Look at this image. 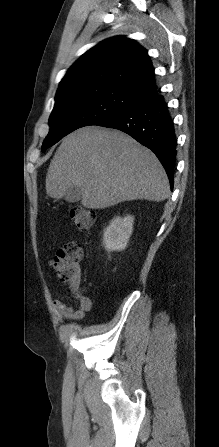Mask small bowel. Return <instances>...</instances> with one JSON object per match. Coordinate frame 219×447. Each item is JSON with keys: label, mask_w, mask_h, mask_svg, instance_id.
<instances>
[{"label": "small bowel", "mask_w": 219, "mask_h": 447, "mask_svg": "<svg viewBox=\"0 0 219 447\" xmlns=\"http://www.w3.org/2000/svg\"><path fill=\"white\" fill-rule=\"evenodd\" d=\"M73 294L78 301L77 307L69 306L60 299H54L53 305L61 317L69 320H80L84 318L86 313L90 310L92 301L89 297L83 294Z\"/></svg>", "instance_id": "1"}]
</instances>
